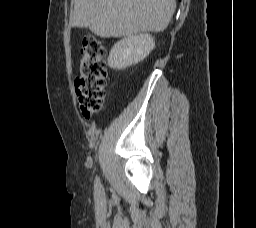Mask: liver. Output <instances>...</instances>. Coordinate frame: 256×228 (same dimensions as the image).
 Segmentation results:
<instances>
[{
  "label": "liver",
  "mask_w": 256,
  "mask_h": 228,
  "mask_svg": "<svg viewBox=\"0 0 256 228\" xmlns=\"http://www.w3.org/2000/svg\"><path fill=\"white\" fill-rule=\"evenodd\" d=\"M72 1L70 25L89 28L101 38L164 31L176 9L175 0Z\"/></svg>",
  "instance_id": "liver-1"
}]
</instances>
